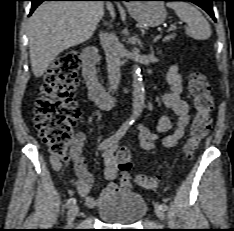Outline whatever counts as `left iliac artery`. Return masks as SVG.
Masks as SVG:
<instances>
[{"label":"left iliac artery","mask_w":234,"mask_h":231,"mask_svg":"<svg viewBox=\"0 0 234 231\" xmlns=\"http://www.w3.org/2000/svg\"><path fill=\"white\" fill-rule=\"evenodd\" d=\"M160 205L164 211L168 209V206L165 203H161Z\"/></svg>","instance_id":"left-iliac-artery-1"}]
</instances>
